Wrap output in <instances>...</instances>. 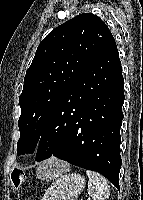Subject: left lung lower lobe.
<instances>
[{"label": "left lung lower lobe", "instance_id": "obj_1", "mask_svg": "<svg viewBox=\"0 0 143 200\" xmlns=\"http://www.w3.org/2000/svg\"><path fill=\"white\" fill-rule=\"evenodd\" d=\"M124 79L115 39L87 66L60 101L41 134L36 161L52 155L104 175L119 189Z\"/></svg>", "mask_w": 143, "mask_h": 200}]
</instances>
